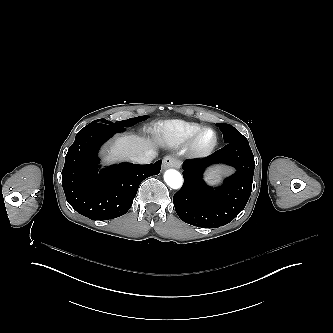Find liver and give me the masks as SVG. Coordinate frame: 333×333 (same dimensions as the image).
I'll use <instances>...</instances> for the list:
<instances>
[{"label": "liver", "mask_w": 333, "mask_h": 333, "mask_svg": "<svg viewBox=\"0 0 333 333\" xmlns=\"http://www.w3.org/2000/svg\"><path fill=\"white\" fill-rule=\"evenodd\" d=\"M109 149L114 152L120 158H134L138 155H142L145 151L152 149V145L148 141H144L139 137H122L116 145H109Z\"/></svg>", "instance_id": "1"}]
</instances>
